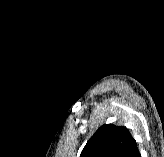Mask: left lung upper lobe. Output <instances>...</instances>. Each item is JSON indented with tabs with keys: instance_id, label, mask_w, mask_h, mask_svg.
Wrapping results in <instances>:
<instances>
[{
	"instance_id": "left-lung-upper-lobe-1",
	"label": "left lung upper lobe",
	"mask_w": 164,
	"mask_h": 157,
	"mask_svg": "<svg viewBox=\"0 0 164 157\" xmlns=\"http://www.w3.org/2000/svg\"><path fill=\"white\" fill-rule=\"evenodd\" d=\"M134 144L126 127L105 124L89 139L80 157H127Z\"/></svg>"
}]
</instances>
